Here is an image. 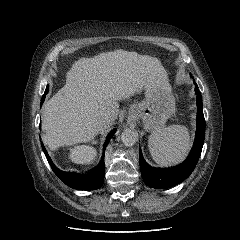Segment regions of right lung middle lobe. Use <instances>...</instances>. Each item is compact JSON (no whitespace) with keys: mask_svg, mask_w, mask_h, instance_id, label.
<instances>
[{"mask_svg":"<svg viewBox=\"0 0 240 240\" xmlns=\"http://www.w3.org/2000/svg\"><path fill=\"white\" fill-rule=\"evenodd\" d=\"M48 89H49V86L46 87V90L43 96H46V94L48 93Z\"/></svg>","mask_w":240,"mask_h":240,"instance_id":"dd1d6c3e","label":"right lung middle lobe"}]
</instances>
